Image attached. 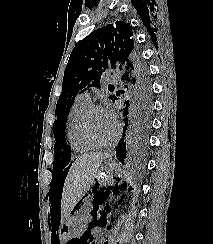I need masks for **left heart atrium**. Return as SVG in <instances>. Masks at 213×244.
I'll use <instances>...</instances> for the list:
<instances>
[{"label":"left heart atrium","mask_w":213,"mask_h":244,"mask_svg":"<svg viewBox=\"0 0 213 244\" xmlns=\"http://www.w3.org/2000/svg\"><path fill=\"white\" fill-rule=\"evenodd\" d=\"M105 113H106L109 121L112 122L113 124H115L116 119H115L114 112L112 110H106Z\"/></svg>","instance_id":"39dd6f15"}]
</instances>
